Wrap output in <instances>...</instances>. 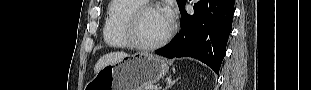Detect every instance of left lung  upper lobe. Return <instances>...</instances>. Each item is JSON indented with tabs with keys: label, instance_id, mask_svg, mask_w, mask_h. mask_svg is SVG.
<instances>
[{
	"label": "left lung upper lobe",
	"instance_id": "obj_1",
	"mask_svg": "<svg viewBox=\"0 0 311 90\" xmlns=\"http://www.w3.org/2000/svg\"><path fill=\"white\" fill-rule=\"evenodd\" d=\"M186 2V0H177L179 8Z\"/></svg>",
	"mask_w": 311,
	"mask_h": 90
}]
</instances>
